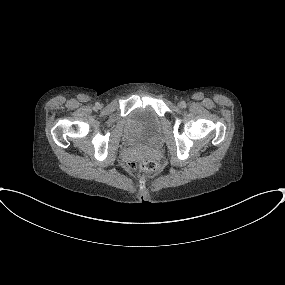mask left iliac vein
<instances>
[{
	"mask_svg": "<svg viewBox=\"0 0 285 285\" xmlns=\"http://www.w3.org/2000/svg\"><path fill=\"white\" fill-rule=\"evenodd\" d=\"M178 106H179V107H182V104H181V103H179V104H178Z\"/></svg>",
	"mask_w": 285,
	"mask_h": 285,
	"instance_id": "1",
	"label": "left iliac vein"
}]
</instances>
